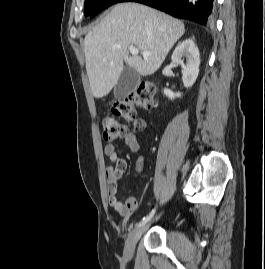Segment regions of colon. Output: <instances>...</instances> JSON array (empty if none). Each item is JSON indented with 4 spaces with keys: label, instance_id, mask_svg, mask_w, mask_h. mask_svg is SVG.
Wrapping results in <instances>:
<instances>
[{
    "label": "colon",
    "instance_id": "1",
    "mask_svg": "<svg viewBox=\"0 0 265 269\" xmlns=\"http://www.w3.org/2000/svg\"><path fill=\"white\" fill-rule=\"evenodd\" d=\"M154 94L155 86L148 81H142L138 88L129 96L116 101L112 105L113 115L106 116L103 119V139L106 142H112L126 135V124L120 122L117 117L126 122L135 121L138 109H148L152 107Z\"/></svg>",
    "mask_w": 265,
    "mask_h": 269
}]
</instances>
